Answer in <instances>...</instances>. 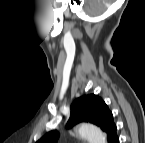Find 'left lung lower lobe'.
Returning a JSON list of instances; mask_svg holds the SVG:
<instances>
[{
    "instance_id": "1",
    "label": "left lung lower lobe",
    "mask_w": 145,
    "mask_h": 143,
    "mask_svg": "<svg viewBox=\"0 0 145 143\" xmlns=\"http://www.w3.org/2000/svg\"><path fill=\"white\" fill-rule=\"evenodd\" d=\"M110 143H119L118 137H115Z\"/></svg>"
}]
</instances>
